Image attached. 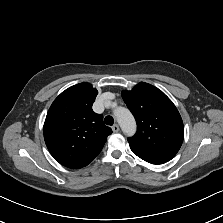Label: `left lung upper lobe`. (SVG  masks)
<instances>
[{
  "label": "left lung upper lobe",
  "instance_id": "5c2ea615",
  "mask_svg": "<svg viewBox=\"0 0 223 223\" xmlns=\"http://www.w3.org/2000/svg\"><path fill=\"white\" fill-rule=\"evenodd\" d=\"M122 98L137 123L128 138L132 152L146 162L163 164L179 151L184 137L181 116L172 101L158 88L140 82Z\"/></svg>",
  "mask_w": 223,
  "mask_h": 223
}]
</instances>
